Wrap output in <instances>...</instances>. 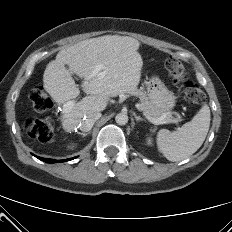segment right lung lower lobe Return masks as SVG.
<instances>
[{"label":"right lung lower lobe","mask_w":232,"mask_h":232,"mask_svg":"<svg viewBox=\"0 0 232 232\" xmlns=\"http://www.w3.org/2000/svg\"><path fill=\"white\" fill-rule=\"evenodd\" d=\"M38 159L47 162V163H57V162H64V161H69L72 160L74 158H70V159H65V160H55V159H47V158H42V157H38L36 156Z\"/></svg>","instance_id":"98d812e1"}]
</instances>
